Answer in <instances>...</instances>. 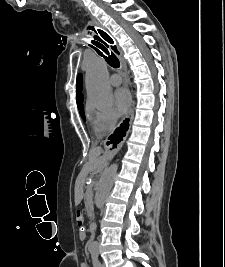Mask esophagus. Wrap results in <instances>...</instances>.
<instances>
[{
    "mask_svg": "<svg viewBox=\"0 0 225 267\" xmlns=\"http://www.w3.org/2000/svg\"><path fill=\"white\" fill-rule=\"evenodd\" d=\"M98 30H101V31H103V32H105L107 35H109L110 36V34L106 31V30H104V29H102V28H99V29H97V32H98V34L102 37V33L100 34V32L98 31ZM104 36V35H103ZM105 37V36H104ZM111 37V36H110ZM103 38V37H102ZM104 39V38H103ZM105 40V39H104ZM110 45L112 46V48H114V47H116V44L115 43H110ZM116 55L118 56V58H119V60H120V63H121V66H122V69H123V71H124V77H125V84L127 85V86H130V79H129V74H128V71H127V66H126V63H125V61H124V59H123V57H122V55H121V53L119 52V50H118V48H117V50H116ZM133 100L131 99V107H130V109H129V111H128V115H127V117L130 119V121L132 120V118H133ZM106 151H107V153L109 154V155H114L115 153H116V151H117V149H112L111 147H107L106 148Z\"/></svg>",
    "mask_w": 225,
    "mask_h": 267,
    "instance_id": "esophagus-1",
    "label": "esophagus"
}]
</instances>
